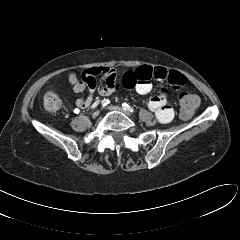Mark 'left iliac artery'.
Instances as JSON below:
<instances>
[{
    "label": "left iliac artery",
    "mask_w": 240,
    "mask_h": 240,
    "mask_svg": "<svg viewBox=\"0 0 240 240\" xmlns=\"http://www.w3.org/2000/svg\"><path fill=\"white\" fill-rule=\"evenodd\" d=\"M122 107H123V109L126 110V111L134 112V109H133L131 106H129L128 104H126V103H123V104H122Z\"/></svg>",
    "instance_id": "left-iliac-artery-1"
}]
</instances>
